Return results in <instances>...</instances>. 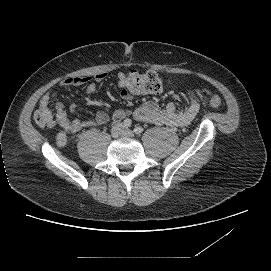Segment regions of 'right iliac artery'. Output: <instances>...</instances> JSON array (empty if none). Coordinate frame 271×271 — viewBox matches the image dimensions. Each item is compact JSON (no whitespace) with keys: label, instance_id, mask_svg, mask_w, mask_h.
Returning a JSON list of instances; mask_svg holds the SVG:
<instances>
[{"label":"right iliac artery","instance_id":"82829eb1","mask_svg":"<svg viewBox=\"0 0 271 271\" xmlns=\"http://www.w3.org/2000/svg\"><path fill=\"white\" fill-rule=\"evenodd\" d=\"M123 124H124L125 127H130L131 124H132V121L127 118V119L124 120Z\"/></svg>","mask_w":271,"mask_h":271}]
</instances>
